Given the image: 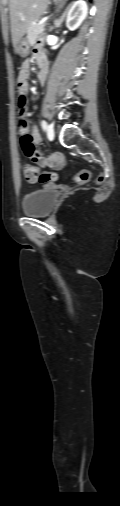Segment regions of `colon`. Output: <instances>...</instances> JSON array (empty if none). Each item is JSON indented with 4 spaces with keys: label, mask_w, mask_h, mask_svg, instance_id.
<instances>
[{
    "label": "colon",
    "mask_w": 120,
    "mask_h": 506,
    "mask_svg": "<svg viewBox=\"0 0 120 506\" xmlns=\"http://www.w3.org/2000/svg\"><path fill=\"white\" fill-rule=\"evenodd\" d=\"M18 90V124L21 133V147L23 152L34 159V157L39 156V150L34 144L33 138L26 132L27 122L25 118V107L27 103L26 91L24 89L23 83L18 81L17 83ZM35 160V159H34ZM24 178L29 184L36 183H49L57 180V174L53 172H42L40 169L33 163H28L24 166L23 169ZM91 178V172L89 170H83L77 173L74 176V181L76 183H85L89 181ZM104 181V176L100 175L98 177V183L101 184Z\"/></svg>",
    "instance_id": "obj_1"
}]
</instances>
